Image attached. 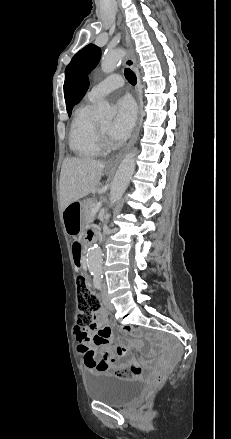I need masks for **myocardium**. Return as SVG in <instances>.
Segmentation results:
<instances>
[{
    "label": "myocardium",
    "mask_w": 231,
    "mask_h": 439,
    "mask_svg": "<svg viewBox=\"0 0 231 439\" xmlns=\"http://www.w3.org/2000/svg\"><path fill=\"white\" fill-rule=\"evenodd\" d=\"M97 134H98V141L101 147L103 148H109L112 146L111 142L109 141L107 137V132H105L99 124H97Z\"/></svg>",
    "instance_id": "myocardium-1"
}]
</instances>
